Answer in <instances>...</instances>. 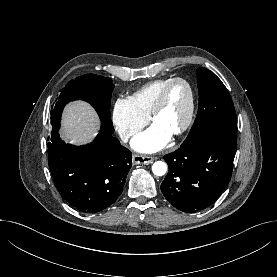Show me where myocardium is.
I'll use <instances>...</instances> for the list:
<instances>
[{"label": "myocardium", "instance_id": "f54148a6", "mask_svg": "<svg viewBox=\"0 0 277 277\" xmlns=\"http://www.w3.org/2000/svg\"><path fill=\"white\" fill-rule=\"evenodd\" d=\"M176 83H182L187 88L188 103H187L185 119H184L181 127L176 132L171 134L172 137H177V136H180L181 134H183L190 127V125L192 123L193 114H194V92H193V88H192L191 84L187 80L180 78V77L170 79L164 85V87L161 89V91L156 99V102L152 108V111L150 113V119L152 122H154L156 117L158 116V114L161 112V110L163 109V107L165 105L167 94H168L170 88Z\"/></svg>", "mask_w": 277, "mask_h": 277}]
</instances>
